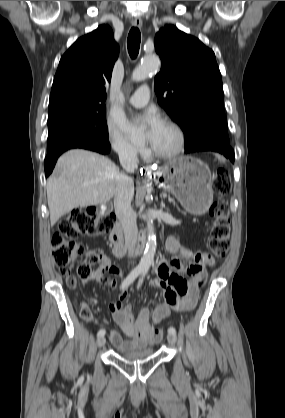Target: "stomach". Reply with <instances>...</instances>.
Segmentation results:
<instances>
[{
  "mask_svg": "<svg viewBox=\"0 0 285 418\" xmlns=\"http://www.w3.org/2000/svg\"><path fill=\"white\" fill-rule=\"evenodd\" d=\"M155 181L193 215H203L213 202L211 171L198 158L179 156L173 159L156 172Z\"/></svg>",
  "mask_w": 285,
  "mask_h": 418,
  "instance_id": "obj_1",
  "label": "stomach"
}]
</instances>
